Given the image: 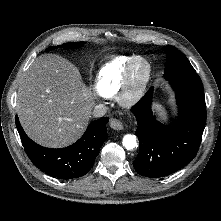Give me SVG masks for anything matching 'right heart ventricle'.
Masks as SVG:
<instances>
[{
    "mask_svg": "<svg viewBox=\"0 0 221 221\" xmlns=\"http://www.w3.org/2000/svg\"><path fill=\"white\" fill-rule=\"evenodd\" d=\"M134 57L117 56L101 67L95 82V89L100 96L111 98L119 92L124 72Z\"/></svg>",
    "mask_w": 221,
    "mask_h": 221,
    "instance_id": "1",
    "label": "right heart ventricle"
}]
</instances>
